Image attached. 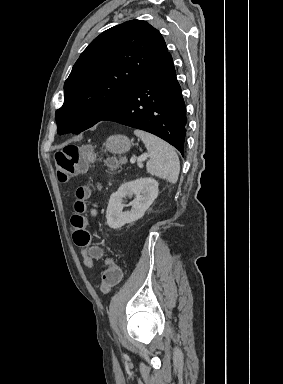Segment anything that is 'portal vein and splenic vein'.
<instances>
[{
  "label": "portal vein and splenic vein",
  "mask_w": 283,
  "mask_h": 384,
  "mask_svg": "<svg viewBox=\"0 0 283 384\" xmlns=\"http://www.w3.org/2000/svg\"><path fill=\"white\" fill-rule=\"evenodd\" d=\"M152 156H153V154H142V156H140V158H137L139 168H143V164H141V162H145V160H147V158H152ZM130 162H131V164H135V158H131Z\"/></svg>",
  "instance_id": "portal-vein-and-splenic-vein-1"
}]
</instances>
